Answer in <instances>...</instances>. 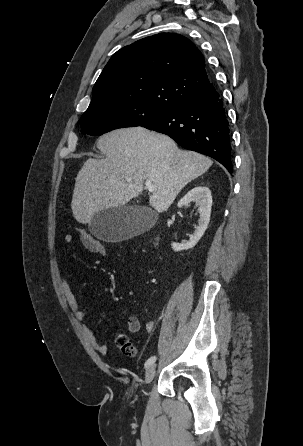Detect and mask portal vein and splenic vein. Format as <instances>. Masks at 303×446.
Masks as SVG:
<instances>
[{
  "label": "portal vein and splenic vein",
  "instance_id": "18ae733b",
  "mask_svg": "<svg viewBox=\"0 0 303 446\" xmlns=\"http://www.w3.org/2000/svg\"><path fill=\"white\" fill-rule=\"evenodd\" d=\"M145 186L147 187V189L149 190V191H153L154 190V186H153V184H152V182L150 181V180H146L145 181Z\"/></svg>",
  "mask_w": 303,
  "mask_h": 446
}]
</instances>
